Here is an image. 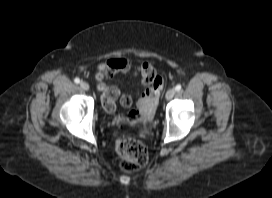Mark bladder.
<instances>
[{"instance_id":"bladder-1","label":"bladder","mask_w":272,"mask_h":198,"mask_svg":"<svg viewBox=\"0 0 272 198\" xmlns=\"http://www.w3.org/2000/svg\"><path fill=\"white\" fill-rule=\"evenodd\" d=\"M154 111V107L151 104H146L142 107V114L144 118H148Z\"/></svg>"}]
</instances>
